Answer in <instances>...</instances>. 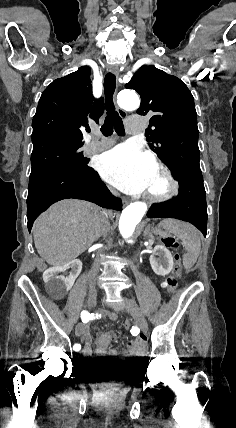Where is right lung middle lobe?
<instances>
[{
    "label": "right lung middle lobe",
    "instance_id": "right-lung-middle-lobe-1",
    "mask_svg": "<svg viewBox=\"0 0 236 428\" xmlns=\"http://www.w3.org/2000/svg\"><path fill=\"white\" fill-rule=\"evenodd\" d=\"M84 141H51L33 147L30 177L58 169L83 170L89 166L81 150Z\"/></svg>",
    "mask_w": 236,
    "mask_h": 428
}]
</instances>
